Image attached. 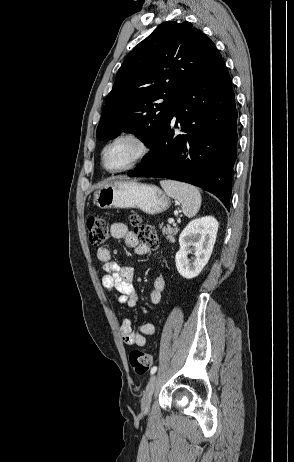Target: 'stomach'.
<instances>
[{
  "label": "stomach",
  "mask_w": 294,
  "mask_h": 462,
  "mask_svg": "<svg viewBox=\"0 0 294 462\" xmlns=\"http://www.w3.org/2000/svg\"><path fill=\"white\" fill-rule=\"evenodd\" d=\"M94 199L102 209L137 208L150 215L170 207L169 197L160 188L133 180L110 182L94 193Z\"/></svg>",
  "instance_id": "obj_1"
}]
</instances>
